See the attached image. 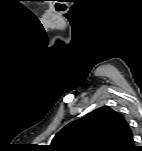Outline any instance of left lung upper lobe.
<instances>
[{
	"label": "left lung upper lobe",
	"instance_id": "obj_1",
	"mask_svg": "<svg viewBox=\"0 0 142 151\" xmlns=\"http://www.w3.org/2000/svg\"><path fill=\"white\" fill-rule=\"evenodd\" d=\"M133 134L124 116L102 106L67 124L52 140L57 151H127Z\"/></svg>",
	"mask_w": 142,
	"mask_h": 151
}]
</instances>
